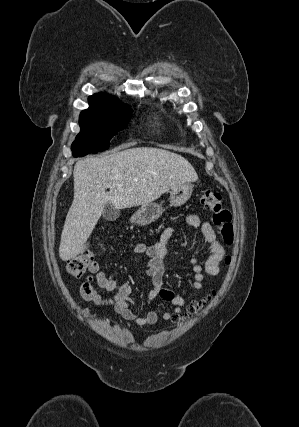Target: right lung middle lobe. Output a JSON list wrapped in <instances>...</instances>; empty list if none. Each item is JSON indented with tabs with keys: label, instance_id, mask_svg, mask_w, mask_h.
Instances as JSON below:
<instances>
[{
	"label": "right lung middle lobe",
	"instance_id": "obj_1",
	"mask_svg": "<svg viewBox=\"0 0 299 427\" xmlns=\"http://www.w3.org/2000/svg\"><path fill=\"white\" fill-rule=\"evenodd\" d=\"M132 110L120 102L90 104L80 114V133L72 144L74 156L106 150L109 141L130 120Z\"/></svg>",
	"mask_w": 299,
	"mask_h": 427
}]
</instances>
